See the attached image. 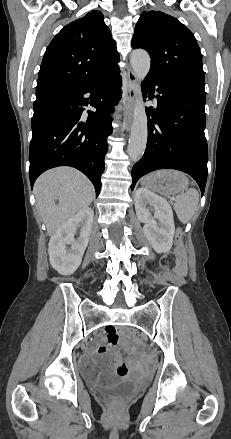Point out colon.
Here are the masks:
<instances>
[{"label":"colon","mask_w":231,"mask_h":439,"mask_svg":"<svg viewBox=\"0 0 231 439\" xmlns=\"http://www.w3.org/2000/svg\"><path fill=\"white\" fill-rule=\"evenodd\" d=\"M182 238L183 233L179 229L175 236V250L171 253L166 254L161 261V266L164 270H179L182 271L185 266V254L182 248ZM128 335L135 339L137 338V333L134 330H128ZM127 372V368L125 365H121L117 369V373L119 375H123Z\"/></svg>","instance_id":"colon-1"}]
</instances>
